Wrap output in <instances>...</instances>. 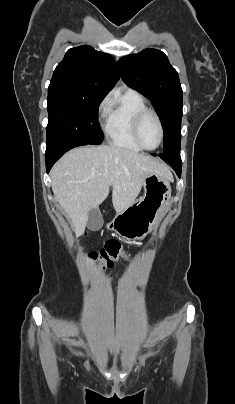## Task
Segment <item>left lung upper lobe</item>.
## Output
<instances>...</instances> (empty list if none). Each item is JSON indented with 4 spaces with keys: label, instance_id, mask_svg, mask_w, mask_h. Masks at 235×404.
I'll return each instance as SVG.
<instances>
[{
    "label": "left lung upper lobe",
    "instance_id": "5c2ea615",
    "mask_svg": "<svg viewBox=\"0 0 235 404\" xmlns=\"http://www.w3.org/2000/svg\"><path fill=\"white\" fill-rule=\"evenodd\" d=\"M121 78L146 96L157 111L163 129V154H180L182 88L176 70L167 56L156 49H145L118 61Z\"/></svg>",
    "mask_w": 235,
    "mask_h": 404
}]
</instances>
